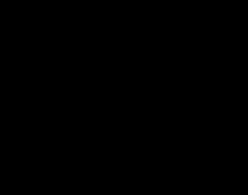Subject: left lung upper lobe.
<instances>
[{
	"label": "left lung upper lobe",
	"instance_id": "left-lung-upper-lobe-1",
	"mask_svg": "<svg viewBox=\"0 0 248 195\" xmlns=\"http://www.w3.org/2000/svg\"><path fill=\"white\" fill-rule=\"evenodd\" d=\"M164 32L180 40L186 53L184 74L177 88L182 92L205 87L216 88L217 82L212 73L210 61L199 44L182 32L176 30Z\"/></svg>",
	"mask_w": 248,
	"mask_h": 195
}]
</instances>
